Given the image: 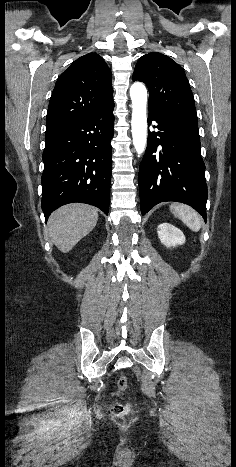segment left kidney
Returning a JSON list of instances; mask_svg holds the SVG:
<instances>
[{
	"label": "left kidney",
	"instance_id": "obj_1",
	"mask_svg": "<svg viewBox=\"0 0 236 467\" xmlns=\"http://www.w3.org/2000/svg\"><path fill=\"white\" fill-rule=\"evenodd\" d=\"M158 237L162 244L166 247H175L185 243V236L183 232L175 226L162 223L158 226Z\"/></svg>",
	"mask_w": 236,
	"mask_h": 467
}]
</instances>
